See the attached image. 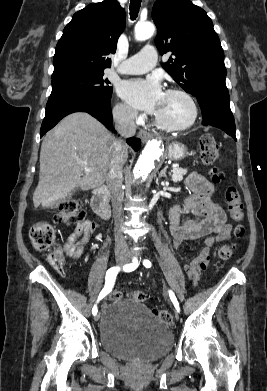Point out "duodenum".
<instances>
[{"instance_id": "duodenum-1", "label": "duodenum", "mask_w": 267, "mask_h": 391, "mask_svg": "<svg viewBox=\"0 0 267 391\" xmlns=\"http://www.w3.org/2000/svg\"><path fill=\"white\" fill-rule=\"evenodd\" d=\"M109 193L106 187L100 186L93 191L91 207L102 219H109L111 211L108 203Z\"/></svg>"}]
</instances>
